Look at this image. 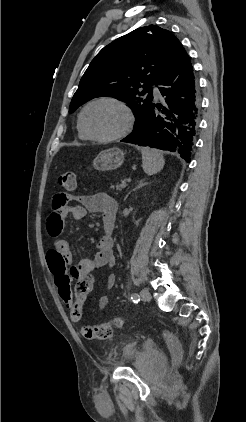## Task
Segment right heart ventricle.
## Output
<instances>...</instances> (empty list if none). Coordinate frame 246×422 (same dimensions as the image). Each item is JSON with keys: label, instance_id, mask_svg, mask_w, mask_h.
Returning a JSON list of instances; mask_svg holds the SVG:
<instances>
[{"label": "right heart ventricle", "instance_id": "obj_1", "mask_svg": "<svg viewBox=\"0 0 246 422\" xmlns=\"http://www.w3.org/2000/svg\"><path fill=\"white\" fill-rule=\"evenodd\" d=\"M77 132H78V136H79V138H80V139H82V140H87V139H88V138L86 137V135L83 133V131H82L81 127H80L79 120H78V122H77Z\"/></svg>", "mask_w": 246, "mask_h": 422}]
</instances>
